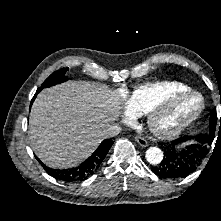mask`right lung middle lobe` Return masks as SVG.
Returning a JSON list of instances; mask_svg holds the SVG:
<instances>
[{
    "mask_svg": "<svg viewBox=\"0 0 221 221\" xmlns=\"http://www.w3.org/2000/svg\"><path fill=\"white\" fill-rule=\"evenodd\" d=\"M68 70V68H63L61 70L55 71L54 73H52L42 84V86L40 87V90H42L43 88H47L59 83H62L64 81L67 80V77L65 76L66 71Z\"/></svg>",
    "mask_w": 221,
    "mask_h": 221,
    "instance_id": "right-lung-middle-lobe-1",
    "label": "right lung middle lobe"
}]
</instances>
